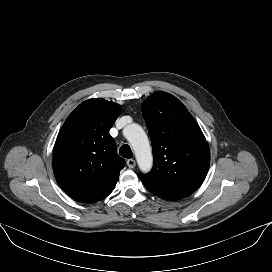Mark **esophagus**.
<instances>
[{
  "label": "esophagus",
  "mask_w": 272,
  "mask_h": 272,
  "mask_svg": "<svg viewBox=\"0 0 272 272\" xmlns=\"http://www.w3.org/2000/svg\"><path fill=\"white\" fill-rule=\"evenodd\" d=\"M127 166L129 168H134L136 166V161L134 159H128L127 160Z\"/></svg>",
  "instance_id": "1"
}]
</instances>
